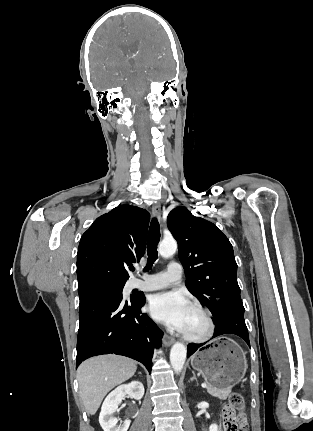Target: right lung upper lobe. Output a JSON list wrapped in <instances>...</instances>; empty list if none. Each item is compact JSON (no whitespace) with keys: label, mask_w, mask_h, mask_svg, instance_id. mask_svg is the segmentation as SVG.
Segmentation results:
<instances>
[{"label":"right lung upper lobe","mask_w":313,"mask_h":431,"mask_svg":"<svg viewBox=\"0 0 313 431\" xmlns=\"http://www.w3.org/2000/svg\"><path fill=\"white\" fill-rule=\"evenodd\" d=\"M150 214L121 205L98 217L82 235L77 253L78 292L125 284L127 266L145 253Z\"/></svg>","instance_id":"1"}]
</instances>
